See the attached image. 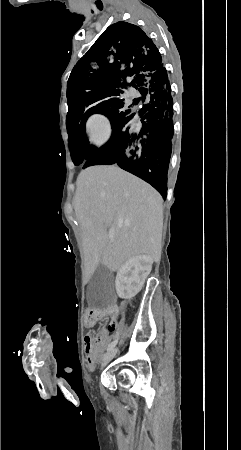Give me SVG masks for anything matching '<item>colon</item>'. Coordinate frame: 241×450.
I'll use <instances>...</instances> for the list:
<instances>
[{
    "label": "colon",
    "mask_w": 241,
    "mask_h": 450,
    "mask_svg": "<svg viewBox=\"0 0 241 450\" xmlns=\"http://www.w3.org/2000/svg\"><path fill=\"white\" fill-rule=\"evenodd\" d=\"M119 307L111 306L109 308V312L111 315L116 316L119 313ZM101 311L99 309L93 308L89 310L88 312L84 313V326L86 327H93L95 323L99 320V314Z\"/></svg>",
    "instance_id": "colon-1"
}]
</instances>
